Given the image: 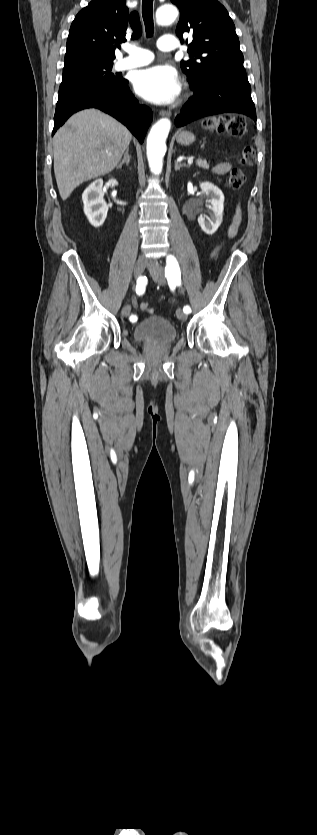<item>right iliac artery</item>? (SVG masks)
I'll list each match as a JSON object with an SVG mask.
<instances>
[{"label": "right iliac artery", "instance_id": "82829eb1", "mask_svg": "<svg viewBox=\"0 0 317 835\" xmlns=\"http://www.w3.org/2000/svg\"><path fill=\"white\" fill-rule=\"evenodd\" d=\"M145 289H146V279L144 277H139L137 279L136 293L138 295H142V294H144ZM129 319L131 321H135L136 317L132 315V316L129 317Z\"/></svg>", "mask_w": 317, "mask_h": 835}]
</instances>
